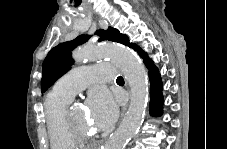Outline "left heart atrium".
Segmentation results:
<instances>
[{"label": "left heart atrium", "instance_id": "obj_1", "mask_svg": "<svg viewBox=\"0 0 227 149\" xmlns=\"http://www.w3.org/2000/svg\"><path fill=\"white\" fill-rule=\"evenodd\" d=\"M94 127L106 129L110 127L117 116V106L112 96L103 89L95 90L90 96Z\"/></svg>", "mask_w": 227, "mask_h": 149}]
</instances>
